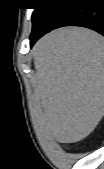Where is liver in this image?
Wrapping results in <instances>:
<instances>
[{
  "label": "liver",
  "instance_id": "liver-1",
  "mask_svg": "<svg viewBox=\"0 0 104 169\" xmlns=\"http://www.w3.org/2000/svg\"><path fill=\"white\" fill-rule=\"evenodd\" d=\"M32 53L42 133L61 143L86 138L104 115V38L82 27L60 28Z\"/></svg>",
  "mask_w": 104,
  "mask_h": 169
}]
</instances>
